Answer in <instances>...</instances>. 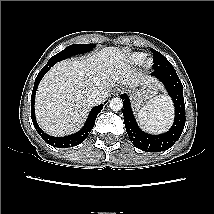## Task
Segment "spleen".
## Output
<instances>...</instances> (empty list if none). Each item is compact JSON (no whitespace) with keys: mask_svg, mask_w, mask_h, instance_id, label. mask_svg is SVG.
<instances>
[{"mask_svg":"<svg viewBox=\"0 0 214 214\" xmlns=\"http://www.w3.org/2000/svg\"><path fill=\"white\" fill-rule=\"evenodd\" d=\"M172 102L166 95H158L148 101L138 113V122L151 133L167 130L172 123Z\"/></svg>","mask_w":214,"mask_h":214,"instance_id":"spleen-1","label":"spleen"}]
</instances>
